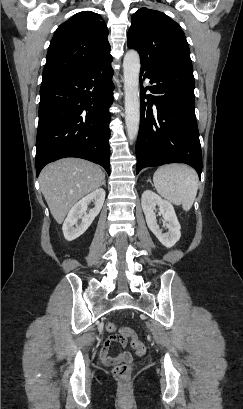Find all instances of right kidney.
Listing matches in <instances>:
<instances>
[{
    "mask_svg": "<svg viewBox=\"0 0 243 409\" xmlns=\"http://www.w3.org/2000/svg\"><path fill=\"white\" fill-rule=\"evenodd\" d=\"M104 200L105 190L99 188L77 202L71 208L63 223L62 231L64 238L68 241H72L81 236L92 224L95 217L99 214ZM91 201L95 202V207L91 209L88 214H86L87 207L91 203ZM79 219H81L80 224H78Z\"/></svg>",
    "mask_w": 243,
    "mask_h": 409,
    "instance_id": "ca27d5eb",
    "label": "right kidney"
}]
</instances>
